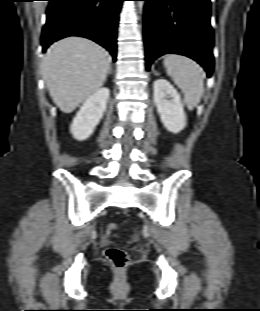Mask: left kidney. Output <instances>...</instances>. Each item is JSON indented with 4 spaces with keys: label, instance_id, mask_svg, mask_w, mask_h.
Wrapping results in <instances>:
<instances>
[{
    "label": "left kidney",
    "instance_id": "5707ae66",
    "mask_svg": "<svg viewBox=\"0 0 260 311\" xmlns=\"http://www.w3.org/2000/svg\"><path fill=\"white\" fill-rule=\"evenodd\" d=\"M154 103L164 127L179 133L186 126V115L177 90L165 79L153 83Z\"/></svg>",
    "mask_w": 260,
    "mask_h": 311
}]
</instances>
